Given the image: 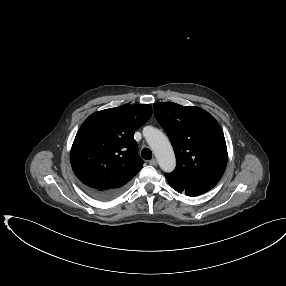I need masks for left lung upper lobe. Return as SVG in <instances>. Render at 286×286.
Here are the masks:
<instances>
[{
	"label": "left lung upper lobe",
	"mask_w": 286,
	"mask_h": 286,
	"mask_svg": "<svg viewBox=\"0 0 286 286\" xmlns=\"http://www.w3.org/2000/svg\"><path fill=\"white\" fill-rule=\"evenodd\" d=\"M155 117L166 131L177 166L167 180L185 188L209 191L221 179L227 164L223 131L207 111L176 103H155Z\"/></svg>",
	"instance_id": "1"
}]
</instances>
